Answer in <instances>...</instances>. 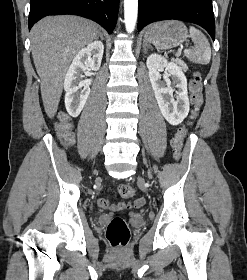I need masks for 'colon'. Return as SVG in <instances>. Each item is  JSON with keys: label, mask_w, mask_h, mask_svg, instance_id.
<instances>
[{"label": "colon", "mask_w": 247, "mask_h": 280, "mask_svg": "<svg viewBox=\"0 0 247 280\" xmlns=\"http://www.w3.org/2000/svg\"><path fill=\"white\" fill-rule=\"evenodd\" d=\"M189 88L191 91V123L198 117L203 105V84L199 73H196L190 81ZM72 122L65 113L61 114L56 126L57 135L64 144L73 142ZM188 132L187 127L180 128L171 141L175 158L181 156L184 140ZM118 193L122 198H132L135 194L134 188L128 184H121L118 187ZM106 238L113 247L125 246L130 238V230L123 216L114 217L106 229Z\"/></svg>", "instance_id": "1"}]
</instances>
